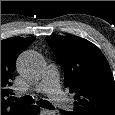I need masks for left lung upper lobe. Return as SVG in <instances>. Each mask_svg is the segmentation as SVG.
<instances>
[{
    "instance_id": "5c2ea615",
    "label": "left lung upper lobe",
    "mask_w": 115,
    "mask_h": 115,
    "mask_svg": "<svg viewBox=\"0 0 115 115\" xmlns=\"http://www.w3.org/2000/svg\"><path fill=\"white\" fill-rule=\"evenodd\" d=\"M74 94L73 115H114L115 81L103 53L78 36H47Z\"/></svg>"
}]
</instances>
